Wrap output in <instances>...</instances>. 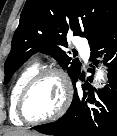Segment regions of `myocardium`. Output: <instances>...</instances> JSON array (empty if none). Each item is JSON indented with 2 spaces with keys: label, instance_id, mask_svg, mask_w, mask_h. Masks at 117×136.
Here are the masks:
<instances>
[{
  "label": "myocardium",
  "instance_id": "obj_1",
  "mask_svg": "<svg viewBox=\"0 0 117 136\" xmlns=\"http://www.w3.org/2000/svg\"><path fill=\"white\" fill-rule=\"evenodd\" d=\"M47 76H56L59 78L62 86V101L58 109L50 116L45 117V118H40V119H30L26 116L24 112V104L27 95L30 93L32 88L43 78ZM71 97H72V91H71V84L70 80L67 76V74L60 68L58 67H47L44 69H41L37 71L30 79L29 81L25 84L23 89L21 90V93L19 95L18 103H17V108H16V113L17 116L24 122L28 124H43V123H48L52 122L59 117H61L64 112L67 110L70 102H71Z\"/></svg>",
  "mask_w": 117,
  "mask_h": 136
}]
</instances>
